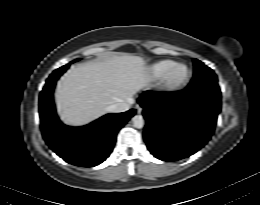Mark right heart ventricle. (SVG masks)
Returning <instances> with one entry per match:
<instances>
[{"instance_id": "right-heart-ventricle-1", "label": "right heart ventricle", "mask_w": 260, "mask_h": 205, "mask_svg": "<svg viewBox=\"0 0 260 205\" xmlns=\"http://www.w3.org/2000/svg\"><path fill=\"white\" fill-rule=\"evenodd\" d=\"M175 61L165 59L153 63L148 68V76L153 81L161 80L165 73L174 65Z\"/></svg>"}]
</instances>
